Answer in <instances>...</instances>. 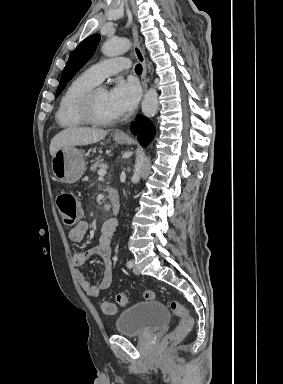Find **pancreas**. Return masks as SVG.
<instances>
[{
	"mask_svg": "<svg viewBox=\"0 0 283 384\" xmlns=\"http://www.w3.org/2000/svg\"><path fill=\"white\" fill-rule=\"evenodd\" d=\"M103 162L104 160H97V162H94L90 168L91 172H97V168L104 170V166H106V164H103Z\"/></svg>",
	"mask_w": 283,
	"mask_h": 384,
	"instance_id": "cf45deb5",
	"label": "pancreas"
}]
</instances>
